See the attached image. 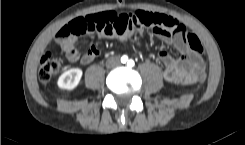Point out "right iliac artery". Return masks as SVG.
<instances>
[{"label":"right iliac artery","mask_w":245,"mask_h":145,"mask_svg":"<svg viewBox=\"0 0 245 145\" xmlns=\"http://www.w3.org/2000/svg\"><path fill=\"white\" fill-rule=\"evenodd\" d=\"M127 60H128V57L126 55L121 57V62L122 63H126Z\"/></svg>","instance_id":"right-iliac-artery-1"}]
</instances>
